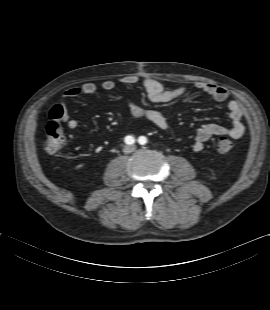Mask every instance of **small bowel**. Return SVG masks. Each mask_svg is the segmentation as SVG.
<instances>
[{
    "mask_svg": "<svg viewBox=\"0 0 270 310\" xmlns=\"http://www.w3.org/2000/svg\"><path fill=\"white\" fill-rule=\"evenodd\" d=\"M121 82L126 85H135L140 83L147 98L154 103H169L183 98L187 94V89L184 86L167 89L159 81L149 77L140 78L129 75L121 78ZM101 86L104 90L110 91L115 88L116 84L112 80H105L102 82ZM195 87L200 92L210 96L216 102L227 103L231 126L225 127L216 123L201 126L196 131L192 145L193 150L196 152L201 151L204 143L212 137L227 135L233 139L241 138L245 132V127L242 123L244 112L241 104L237 100L230 99V93L225 87L207 82H197ZM97 91L98 87L96 84L93 82H85L80 86L69 88L64 92L58 105L61 106L63 110L62 121L66 123L70 129L78 128L79 122L70 117L69 111L66 107L67 100L76 98L80 95H94ZM128 107L133 117L145 118L153 123L157 128L164 131L170 129L168 119L160 111L145 109L134 99L129 100Z\"/></svg>",
    "mask_w": 270,
    "mask_h": 310,
    "instance_id": "small-bowel-1",
    "label": "small bowel"
}]
</instances>
